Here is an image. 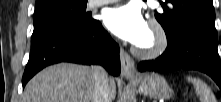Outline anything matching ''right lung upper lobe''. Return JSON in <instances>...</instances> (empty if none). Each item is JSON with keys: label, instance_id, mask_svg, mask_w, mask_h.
<instances>
[{"label": "right lung upper lobe", "instance_id": "right-lung-upper-lobe-1", "mask_svg": "<svg viewBox=\"0 0 221 102\" xmlns=\"http://www.w3.org/2000/svg\"><path fill=\"white\" fill-rule=\"evenodd\" d=\"M45 1H47V0H36V7H38L39 5L44 3Z\"/></svg>", "mask_w": 221, "mask_h": 102}]
</instances>
